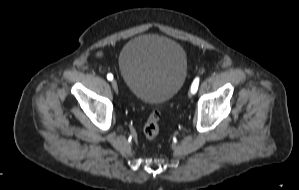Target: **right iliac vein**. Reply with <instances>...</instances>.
Returning a JSON list of instances; mask_svg holds the SVG:
<instances>
[{
  "instance_id": "right-iliac-vein-1",
  "label": "right iliac vein",
  "mask_w": 299,
  "mask_h": 190,
  "mask_svg": "<svg viewBox=\"0 0 299 190\" xmlns=\"http://www.w3.org/2000/svg\"><path fill=\"white\" fill-rule=\"evenodd\" d=\"M111 84H112V87L114 88V90L117 92L118 91V83H117V81L114 79V80H112Z\"/></svg>"
}]
</instances>
